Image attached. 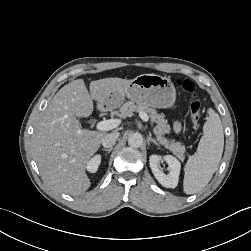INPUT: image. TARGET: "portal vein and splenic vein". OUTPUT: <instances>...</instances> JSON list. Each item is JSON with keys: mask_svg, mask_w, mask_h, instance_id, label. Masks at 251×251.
Listing matches in <instances>:
<instances>
[{"mask_svg": "<svg viewBox=\"0 0 251 251\" xmlns=\"http://www.w3.org/2000/svg\"><path fill=\"white\" fill-rule=\"evenodd\" d=\"M139 116L145 122H147L149 119V116L145 112H140ZM120 124H121L120 119H109V120H103V121L98 122L96 125V128L97 130H100V131H109L118 127Z\"/></svg>", "mask_w": 251, "mask_h": 251, "instance_id": "1", "label": "portal vein and splenic vein"}]
</instances>
